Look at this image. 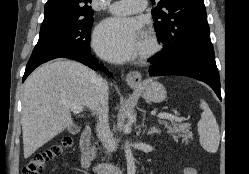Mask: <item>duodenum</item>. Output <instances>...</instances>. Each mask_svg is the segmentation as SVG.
<instances>
[{
  "mask_svg": "<svg viewBox=\"0 0 249 174\" xmlns=\"http://www.w3.org/2000/svg\"><path fill=\"white\" fill-rule=\"evenodd\" d=\"M91 135V126H85L80 137V164L82 169L90 174H123V168L115 164L92 165L93 150Z\"/></svg>",
  "mask_w": 249,
  "mask_h": 174,
  "instance_id": "duodenum-1",
  "label": "duodenum"
}]
</instances>
